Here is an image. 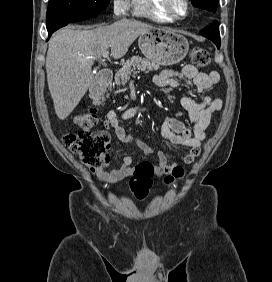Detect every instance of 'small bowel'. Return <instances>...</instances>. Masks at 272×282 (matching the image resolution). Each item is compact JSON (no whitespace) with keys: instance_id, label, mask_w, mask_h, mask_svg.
I'll list each match as a JSON object with an SVG mask.
<instances>
[{"instance_id":"1","label":"small bowel","mask_w":272,"mask_h":282,"mask_svg":"<svg viewBox=\"0 0 272 282\" xmlns=\"http://www.w3.org/2000/svg\"><path fill=\"white\" fill-rule=\"evenodd\" d=\"M219 79L218 72L205 73L193 65H185L181 69H164L154 77V84L159 87L181 85L184 92L191 87H195L201 94L200 102H196L185 94L181 97V105L193 124L191 129L174 117H165L163 119L161 126L162 138L173 145L182 147L186 152L180 156L178 162H170L162 152H159L157 162L152 164L157 175L169 173L178 163L190 164L199 155L200 145L206 138V130L210 125L212 116L223 106L221 99L213 98L210 94ZM104 126L105 128H112L121 143H134L143 151L145 158L150 157L151 148L144 141L129 138L126 135L115 111L107 114ZM132 164V157L125 156L117 167L110 170L91 169V173L101 183L113 185L133 172Z\"/></svg>"}]
</instances>
